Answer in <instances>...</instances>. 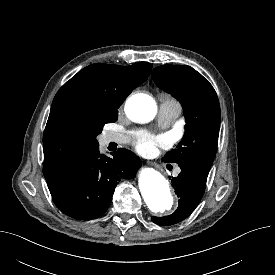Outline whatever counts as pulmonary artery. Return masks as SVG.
Here are the masks:
<instances>
[{
	"label": "pulmonary artery",
	"instance_id": "pulmonary-artery-1",
	"mask_svg": "<svg viewBox=\"0 0 275 275\" xmlns=\"http://www.w3.org/2000/svg\"><path fill=\"white\" fill-rule=\"evenodd\" d=\"M181 112V107L178 103L162 101L158 113V123L161 127H167L171 125ZM106 143H124L126 138L118 133H108L105 136ZM180 169L175 170V174H178Z\"/></svg>",
	"mask_w": 275,
	"mask_h": 275
}]
</instances>
